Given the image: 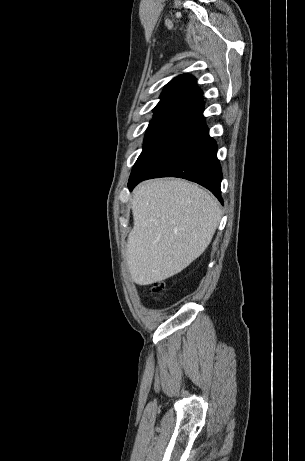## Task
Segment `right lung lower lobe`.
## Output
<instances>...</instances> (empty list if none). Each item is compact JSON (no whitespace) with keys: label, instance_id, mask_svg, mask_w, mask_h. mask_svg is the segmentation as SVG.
Returning <instances> with one entry per match:
<instances>
[{"label":"right lung lower lobe","instance_id":"right-lung-lower-lobe-1","mask_svg":"<svg viewBox=\"0 0 305 461\" xmlns=\"http://www.w3.org/2000/svg\"><path fill=\"white\" fill-rule=\"evenodd\" d=\"M203 108L204 103L189 108L168 135L134 165L128 182L130 190L146 179L180 177L209 189L223 204L217 144L209 136Z\"/></svg>","mask_w":305,"mask_h":461}]
</instances>
